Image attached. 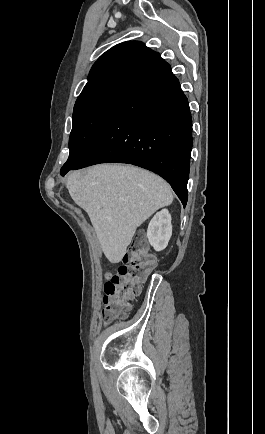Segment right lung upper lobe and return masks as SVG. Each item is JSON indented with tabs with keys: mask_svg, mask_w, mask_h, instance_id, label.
I'll list each match as a JSON object with an SVG mask.
<instances>
[{
	"mask_svg": "<svg viewBox=\"0 0 265 434\" xmlns=\"http://www.w3.org/2000/svg\"><path fill=\"white\" fill-rule=\"evenodd\" d=\"M160 54L142 42L129 41L115 45L105 52L93 65L88 83L118 74L135 75L153 64Z\"/></svg>",
	"mask_w": 265,
	"mask_h": 434,
	"instance_id": "right-lung-upper-lobe-1",
	"label": "right lung upper lobe"
}]
</instances>
